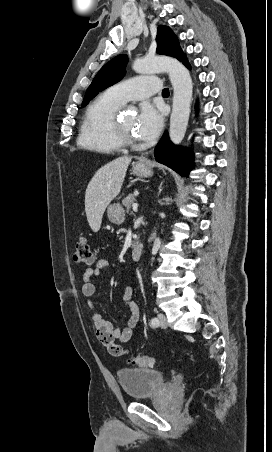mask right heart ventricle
Instances as JSON below:
<instances>
[{"label":"right heart ventricle","mask_w":272,"mask_h":452,"mask_svg":"<svg viewBox=\"0 0 272 452\" xmlns=\"http://www.w3.org/2000/svg\"><path fill=\"white\" fill-rule=\"evenodd\" d=\"M122 105L108 91L98 95L85 112L77 145L82 149L103 154L119 150L121 146L113 139L110 127L113 116Z\"/></svg>","instance_id":"right-heart-ventricle-1"}]
</instances>
